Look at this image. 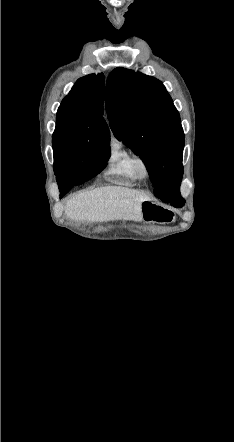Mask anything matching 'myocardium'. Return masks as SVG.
Masks as SVG:
<instances>
[{"mask_svg": "<svg viewBox=\"0 0 234 442\" xmlns=\"http://www.w3.org/2000/svg\"><path fill=\"white\" fill-rule=\"evenodd\" d=\"M132 165L138 179L145 180L149 177L151 172L150 165L143 156H134Z\"/></svg>", "mask_w": 234, "mask_h": 442, "instance_id": "myocardium-1", "label": "myocardium"}]
</instances>
